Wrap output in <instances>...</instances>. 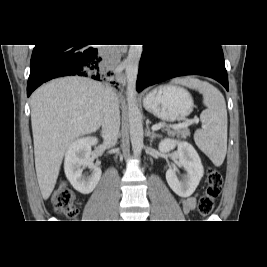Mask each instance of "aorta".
I'll return each instance as SVG.
<instances>
[{
    "instance_id": "762f6f07",
    "label": "aorta",
    "mask_w": 267,
    "mask_h": 267,
    "mask_svg": "<svg viewBox=\"0 0 267 267\" xmlns=\"http://www.w3.org/2000/svg\"><path fill=\"white\" fill-rule=\"evenodd\" d=\"M142 51V45H130L128 56L124 62L127 78L126 96L128 103L130 140L135 156L140 155L143 148L142 116L136 100V80Z\"/></svg>"
}]
</instances>
